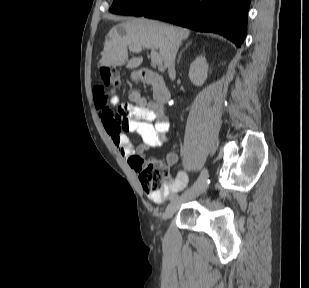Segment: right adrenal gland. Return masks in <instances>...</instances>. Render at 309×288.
Masks as SVG:
<instances>
[{
  "mask_svg": "<svg viewBox=\"0 0 309 288\" xmlns=\"http://www.w3.org/2000/svg\"><path fill=\"white\" fill-rule=\"evenodd\" d=\"M191 41L188 42L185 47L181 50V52L179 53V56H178V60H177V64H179L180 62V59H181V56H182V53L188 48V46L190 45Z\"/></svg>",
  "mask_w": 309,
  "mask_h": 288,
  "instance_id": "obj_1",
  "label": "right adrenal gland"
}]
</instances>
